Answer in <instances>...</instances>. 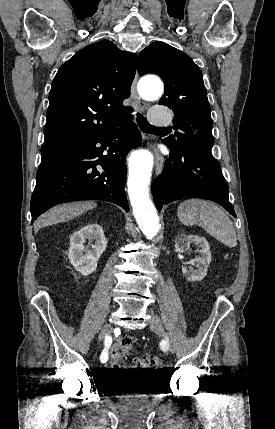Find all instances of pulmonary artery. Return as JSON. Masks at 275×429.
<instances>
[{"label":"pulmonary artery","instance_id":"obj_1","mask_svg":"<svg viewBox=\"0 0 275 429\" xmlns=\"http://www.w3.org/2000/svg\"><path fill=\"white\" fill-rule=\"evenodd\" d=\"M150 122L155 126H168L171 122L169 114L161 107H154L149 112Z\"/></svg>","mask_w":275,"mask_h":429}]
</instances>
